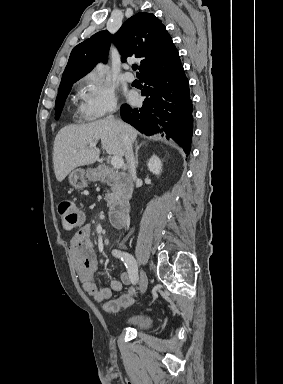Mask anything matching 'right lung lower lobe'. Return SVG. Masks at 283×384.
<instances>
[{"instance_id":"right-lung-lower-lobe-1","label":"right lung lower lobe","mask_w":283,"mask_h":384,"mask_svg":"<svg viewBox=\"0 0 283 384\" xmlns=\"http://www.w3.org/2000/svg\"><path fill=\"white\" fill-rule=\"evenodd\" d=\"M147 86L142 108L123 104L122 119L146 135L162 133L172 138L189 154L193 133V106L188 79L181 63L165 72L141 79Z\"/></svg>"}]
</instances>
